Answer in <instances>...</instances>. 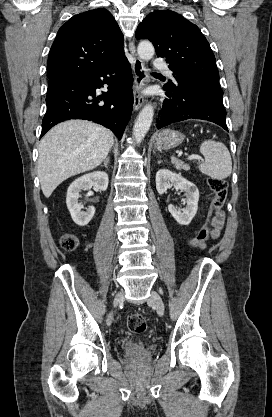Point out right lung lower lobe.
<instances>
[{
    "instance_id": "obj_1",
    "label": "right lung lower lobe",
    "mask_w": 272,
    "mask_h": 417,
    "mask_svg": "<svg viewBox=\"0 0 272 417\" xmlns=\"http://www.w3.org/2000/svg\"><path fill=\"white\" fill-rule=\"evenodd\" d=\"M131 66L122 54L102 69L49 84L43 136L51 127L68 119L92 120L111 129L120 140L133 107ZM108 86L97 96L95 90Z\"/></svg>"
}]
</instances>
